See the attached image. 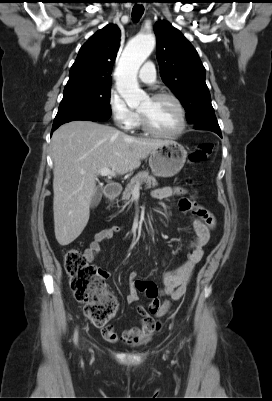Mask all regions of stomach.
Here are the masks:
<instances>
[{
    "label": "stomach",
    "instance_id": "0dacf381",
    "mask_svg": "<svg viewBox=\"0 0 272 401\" xmlns=\"http://www.w3.org/2000/svg\"><path fill=\"white\" fill-rule=\"evenodd\" d=\"M186 157L187 151L181 144L168 141L152 151L149 166L155 176L168 178L180 172Z\"/></svg>",
    "mask_w": 272,
    "mask_h": 401
}]
</instances>
